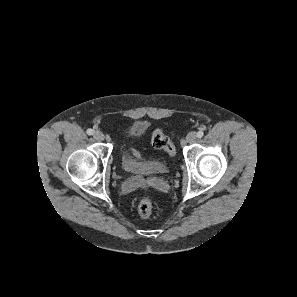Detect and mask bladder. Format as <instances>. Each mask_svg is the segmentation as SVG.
<instances>
[{
    "label": "bladder",
    "instance_id": "1",
    "mask_svg": "<svg viewBox=\"0 0 297 297\" xmlns=\"http://www.w3.org/2000/svg\"><path fill=\"white\" fill-rule=\"evenodd\" d=\"M148 129V124L144 121H135L131 123L124 132L122 141V166L123 168L133 174L141 173H163L167 169L166 163L158 158H150L142 163L135 160L129 151V143L132 139L142 137Z\"/></svg>",
    "mask_w": 297,
    "mask_h": 297
}]
</instances>
